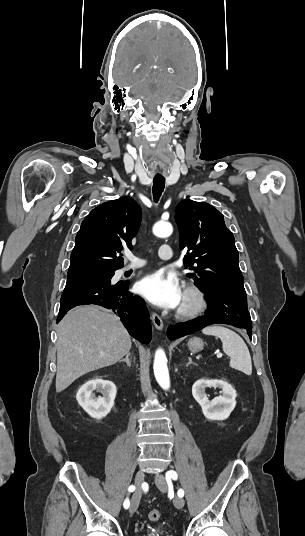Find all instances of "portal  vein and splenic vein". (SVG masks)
<instances>
[{"mask_svg": "<svg viewBox=\"0 0 305 536\" xmlns=\"http://www.w3.org/2000/svg\"><path fill=\"white\" fill-rule=\"evenodd\" d=\"M223 354H220V352H218L217 354V358H222Z\"/></svg>", "mask_w": 305, "mask_h": 536, "instance_id": "18ae733b", "label": "portal vein and splenic vein"}]
</instances>
